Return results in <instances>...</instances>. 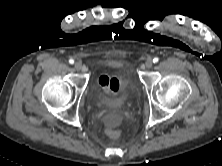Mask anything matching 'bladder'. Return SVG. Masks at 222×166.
Masks as SVG:
<instances>
[{"instance_id": "1", "label": "bladder", "mask_w": 222, "mask_h": 166, "mask_svg": "<svg viewBox=\"0 0 222 166\" xmlns=\"http://www.w3.org/2000/svg\"><path fill=\"white\" fill-rule=\"evenodd\" d=\"M136 90L134 85H130L128 90L124 96L119 98L118 100H109L100 95H97L96 101L97 104L103 107L108 108H120L128 105L131 102L133 92Z\"/></svg>"}]
</instances>
